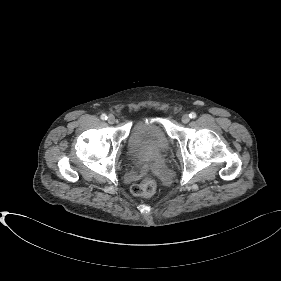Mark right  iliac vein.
<instances>
[{"label":"right iliac vein","instance_id":"right-iliac-vein-1","mask_svg":"<svg viewBox=\"0 0 281 281\" xmlns=\"http://www.w3.org/2000/svg\"><path fill=\"white\" fill-rule=\"evenodd\" d=\"M107 121L109 124H114L116 119L113 115H109Z\"/></svg>","mask_w":281,"mask_h":281}]
</instances>
